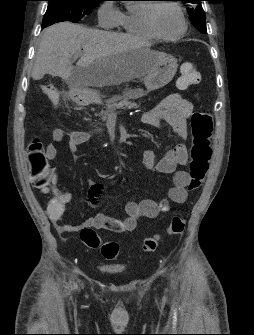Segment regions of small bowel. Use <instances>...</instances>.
I'll use <instances>...</instances> for the list:
<instances>
[{
    "mask_svg": "<svg viewBox=\"0 0 254 335\" xmlns=\"http://www.w3.org/2000/svg\"><path fill=\"white\" fill-rule=\"evenodd\" d=\"M192 111L193 106L188 99L178 93H173L165 97L142 116L144 124L155 128H160L163 124H166L181 140V143L171 148L159 161H156L155 153L152 150H145L142 156V164L145 168L173 175V186L168 190L167 198L160 201L145 199L141 202H128L125 205L126 216L123 219L114 218L105 213H97L81 224L69 225L61 222V220L65 215L67 204L71 200V194L54 189L52 191L53 198L48 204V216L54 223L58 233L61 235L78 233L85 227L103 229L114 233H128L136 229L140 218H156L159 214L169 210L170 202L178 204L186 202L189 178L186 172L178 171L177 167L185 165L187 162V148L183 142L187 138V120L191 116ZM65 137V132L60 128L52 131L54 143L62 142ZM67 138L69 151L72 154H77L79 147L90 139V135L85 131H73L67 135ZM54 143L46 146L45 155L48 161L55 159L57 156V147ZM29 179L38 189H44V185H37V178ZM101 189L98 184L91 186L88 194V205L90 207L98 206ZM53 203L58 205L57 209L50 207Z\"/></svg>",
    "mask_w": 254,
    "mask_h": 335,
    "instance_id": "1",
    "label": "small bowel"
}]
</instances>
